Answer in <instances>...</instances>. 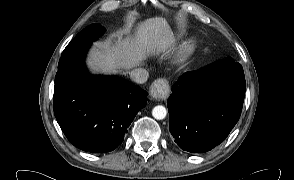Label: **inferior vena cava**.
Segmentation results:
<instances>
[{"instance_id":"1","label":"inferior vena cava","mask_w":294,"mask_h":180,"mask_svg":"<svg viewBox=\"0 0 294 180\" xmlns=\"http://www.w3.org/2000/svg\"><path fill=\"white\" fill-rule=\"evenodd\" d=\"M149 72L143 68H136L130 73V78L136 83H145L148 79Z\"/></svg>"}]
</instances>
